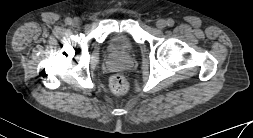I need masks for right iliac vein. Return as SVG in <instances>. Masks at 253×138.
Returning a JSON list of instances; mask_svg holds the SVG:
<instances>
[{
  "instance_id": "right-iliac-vein-1",
  "label": "right iliac vein",
  "mask_w": 253,
  "mask_h": 138,
  "mask_svg": "<svg viewBox=\"0 0 253 138\" xmlns=\"http://www.w3.org/2000/svg\"><path fill=\"white\" fill-rule=\"evenodd\" d=\"M78 25V22L76 20H73L71 23H70V26L72 28H75L76 26Z\"/></svg>"
}]
</instances>
